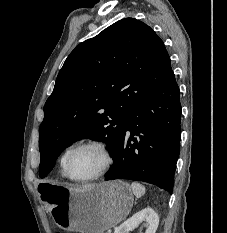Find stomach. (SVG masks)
<instances>
[{
    "label": "stomach",
    "mask_w": 227,
    "mask_h": 233,
    "mask_svg": "<svg viewBox=\"0 0 227 233\" xmlns=\"http://www.w3.org/2000/svg\"><path fill=\"white\" fill-rule=\"evenodd\" d=\"M41 198L55 223L80 233H104L130 213L133 193L123 181H109L83 188L44 182Z\"/></svg>",
    "instance_id": "obj_1"
}]
</instances>
